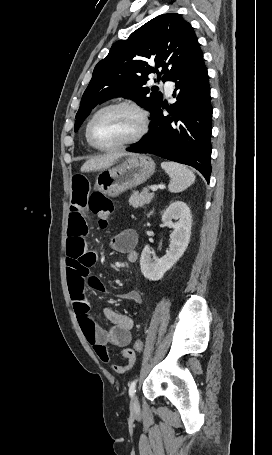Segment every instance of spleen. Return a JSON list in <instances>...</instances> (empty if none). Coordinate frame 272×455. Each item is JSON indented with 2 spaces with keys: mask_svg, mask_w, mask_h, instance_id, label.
<instances>
[{
  "mask_svg": "<svg viewBox=\"0 0 272 455\" xmlns=\"http://www.w3.org/2000/svg\"><path fill=\"white\" fill-rule=\"evenodd\" d=\"M161 167L170 177L169 191L179 193L195 181L194 173L186 166L174 162H162Z\"/></svg>",
  "mask_w": 272,
  "mask_h": 455,
  "instance_id": "obj_1",
  "label": "spleen"
}]
</instances>
